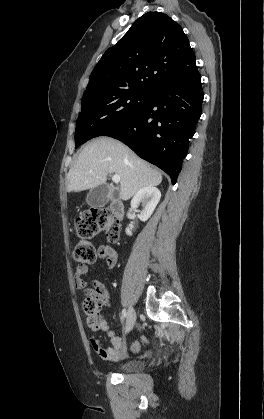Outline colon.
Listing matches in <instances>:
<instances>
[{
  "label": "colon",
  "instance_id": "obj_1",
  "mask_svg": "<svg viewBox=\"0 0 264 419\" xmlns=\"http://www.w3.org/2000/svg\"><path fill=\"white\" fill-rule=\"evenodd\" d=\"M75 229L79 241L74 248V259L81 264H91L96 259V252L90 239L99 233H105L109 242H117L119 239V221L107 209H92L85 212L75 220ZM101 302L94 295H87L83 302V309L87 314V323L95 329L98 325V311ZM146 341V338H142ZM140 343L134 344V349L139 348Z\"/></svg>",
  "mask_w": 264,
  "mask_h": 419
}]
</instances>
